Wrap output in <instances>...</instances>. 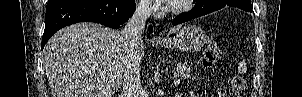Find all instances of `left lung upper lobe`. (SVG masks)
<instances>
[{
	"mask_svg": "<svg viewBox=\"0 0 302 97\" xmlns=\"http://www.w3.org/2000/svg\"><path fill=\"white\" fill-rule=\"evenodd\" d=\"M221 2H232V1H237V0H219Z\"/></svg>",
	"mask_w": 302,
	"mask_h": 97,
	"instance_id": "obj_1",
	"label": "left lung upper lobe"
}]
</instances>
